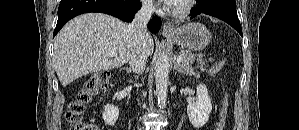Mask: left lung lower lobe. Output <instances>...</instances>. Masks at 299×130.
Listing matches in <instances>:
<instances>
[{"instance_id": "0a47b994", "label": "left lung lower lobe", "mask_w": 299, "mask_h": 130, "mask_svg": "<svg viewBox=\"0 0 299 130\" xmlns=\"http://www.w3.org/2000/svg\"><path fill=\"white\" fill-rule=\"evenodd\" d=\"M196 8L191 9L192 17L204 13L217 17L229 25H231L237 32L242 35V28L236 13L235 0H198Z\"/></svg>"}]
</instances>
